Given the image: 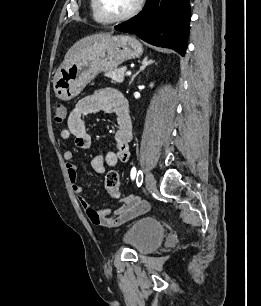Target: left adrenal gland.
Wrapping results in <instances>:
<instances>
[{
  "label": "left adrenal gland",
  "instance_id": "obj_1",
  "mask_svg": "<svg viewBox=\"0 0 261 306\" xmlns=\"http://www.w3.org/2000/svg\"><path fill=\"white\" fill-rule=\"evenodd\" d=\"M152 63H154V61L152 60H148V57H145L142 61V65L139 69V71H137L131 78L129 85H131V83L134 81L135 77L141 72L143 71L148 65H151Z\"/></svg>",
  "mask_w": 261,
  "mask_h": 306
}]
</instances>
